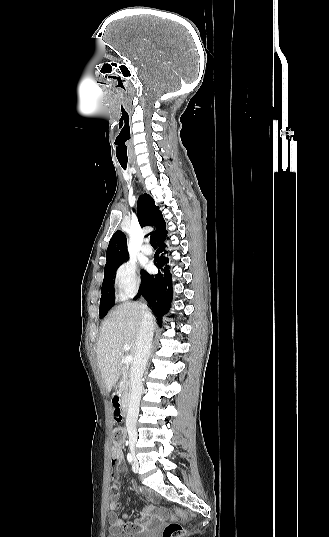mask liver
<instances>
[{
	"label": "liver",
	"instance_id": "6515ba94",
	"mask_svg": "<svg viewBox=\"0 0 329 537\" xmlns=\"http://www.w3.org/2000/svg\"><path fill=\"white\" fill-rule=\"evenodd\" d=\"M138 303L126 302L110 313L101 326L97 343V361L108 392L121 375L122 359L130 346L129 356H134L140 332L143 309ZM155 323L153 322V326Z\"/></svg>",
	"mask_w": 329,
	"mask_h": 537
}]
</instances>
